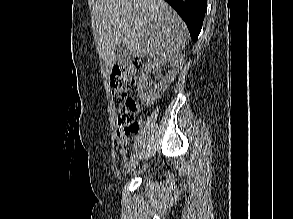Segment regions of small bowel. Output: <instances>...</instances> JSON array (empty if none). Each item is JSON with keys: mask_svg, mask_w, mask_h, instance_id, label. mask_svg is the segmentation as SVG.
<instances>
[{"mask_svg": "<svg viewBox=\"0 0 293 219\" xmlns=\"http://www.w3.org/2000/svg\"><path fill=\"white\" fill-rule=\"evenodd\" d=\"M118 138V146H119V152L120 155L125 159L126 153H127V146L129 144V135H124L120 131L117 133Z\"/></svg>", "mask_w": 293, "mask_h": 219, "instance_id": "small-bowel-1", "label": "small bowel"}]
</instances>
